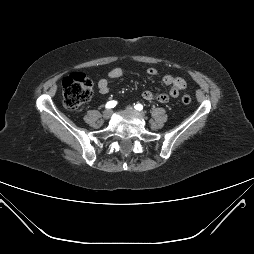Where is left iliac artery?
Masks as SVG:
<instances>
[{
    "mask_svg": "<svg viewBox=\"0 0 254 254\" xmlns=\"http://www.w3.org/2000/svg\"><path fill=\"white\" fill-rule=\"evenodd\" d=\"M135 109L140 111V110L143 109V105L142 104H136Z\"/></svg>",
    "mask_w": 254,
    "mask_h": 254,
    "instance_id": "left-iliac-artery-1",
    "label": "left iliac artery"
}]
</instances>
